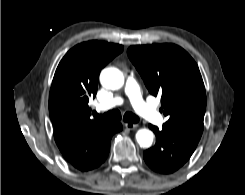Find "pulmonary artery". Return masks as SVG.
<instances>
[{"label":"pulmonary artery","mask_w":245,"mask_h":195,"mask_svg":"<svg viewBox=\"0 0 245 195\" xmlns=\"http://www.w3.org/2000/svg\"><path fill=\"white\" fill-rule=\"evenodd\" d=\"M125 93L128 96L133 108L141 117L156 125H161L163 123V118L159 112L143 100L139 86L132 76H129L126 80ZM122 103V98L114 97L99 104L98 109L107 110L119 106Z\"/></svg>","instance_id":"obj_1"}]
</instances>
